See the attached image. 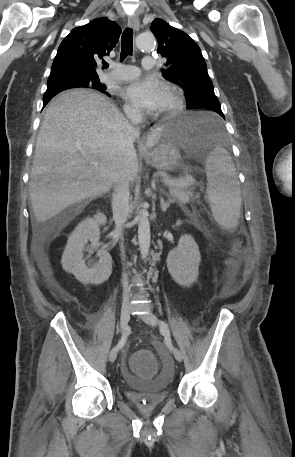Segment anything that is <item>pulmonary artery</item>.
Instances as JSON below:
<instances>
[{"mask_svg": "<svg viewBox=\"0 0 295 457\" xmlns=\"http://www.w3.org/2000/svg\"><path fill=\"white\" fill-rule=\"evenodd\" d=\"M156 61L152 56H146L142 60V66L146 70H151L155 67ZM139 69L133 65L119 64L113 66L111 71L103 75L105 80L127 81L137 77Z\"/></svg>", "mask_w": 295, "mask_h": 457, "instance_id": "e3ab8cb5", "label": "pulmonary artery"}]
</instances>
